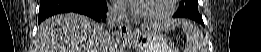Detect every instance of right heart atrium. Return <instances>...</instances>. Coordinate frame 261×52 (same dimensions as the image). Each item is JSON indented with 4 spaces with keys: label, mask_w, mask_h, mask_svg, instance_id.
I'll return each instance as SVG.
<instances>
[{
    "label": "right heart atrium",
    "mask_w": 261,
    "mask_h": 52,
    "mask_svg": "<svg viewBox=\"0 0 261 52\" xmlns=\"http://www.w3.org/2000/svg\"><path fill=\"white\" fill-rule=\"evenodd\" d=\"M112 12L115 16L120 17L125 14V9L123 8V6L117 4L113 7Z\"/></svg>",
    "instance_id": "right-heart-atrium-1"
}]
</instances>
